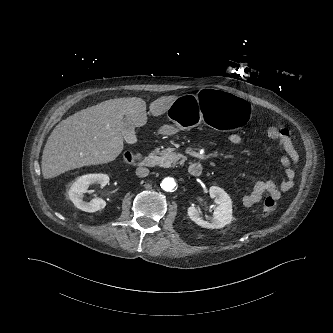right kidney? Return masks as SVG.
Segmentation results:
<instances>
[{"mask_svg":"<svg viewBox=\"0 0 333 333\" xmlns=\"http://www.w3.org/2000/svg\"><path fill=\"white\" fill-rule=\"evenodd\" d=\"M109 183V176L107 174H87L82 175L76 179L71 185L68 194L73 204L80 210L85 212H96L106 206V202L102 198H94L90 202L83 200L84 193L92 184H100L104 187Z\"/></svg>","mask_w":333,"mask_h":333,"instance_id":"obj_1","label":"right kidney"}]
</instances>
